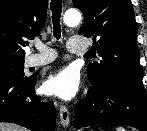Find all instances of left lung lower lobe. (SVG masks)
Instances as JSON below:
<instances>
[{
  "instance_id": "left-lung-lower-lobe-1",
  "label": "left lung lower lobe",
  "mask_w": 147,
  "mask_h": 131,
  "mask_svg": "<svg viewBox=\"0 0 147 131\" xmlns=\"http://www.w3.org/2000/svg\"><path fill=\"white\" fill-rule=\"evenodd\" d=\"M119 123L147 131V97L144 86L123 80L92 84L77 105L75 128Z\"/></svg>"
}]
</instances>
